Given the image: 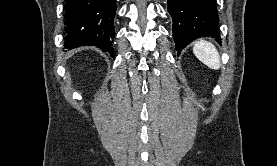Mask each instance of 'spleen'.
<instances>
[{"label":"spleen","mask_w":277,"mask_h":166,"mask_svg":"<svg viewBox=\"0 0 277 166\" xmlns=\"http://www.w3.org/2000/svg\"><path fill=\"white\" fill-rule=\"evenodd\" d=\"M195 56L211 69L220 68V55L214 45L205 40H199L194 44Z\"/></svg>","instance_id":"obj_1"}]
</instances>
